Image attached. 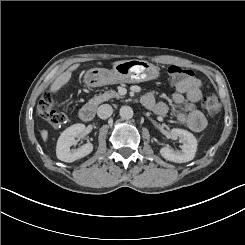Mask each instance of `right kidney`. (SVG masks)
<instances>
[{"mask_svg": "<svg viewBox=\"0 0 245 245\" xmlns=\"http://www.w3.org/2000/svg\"><path fill=\"white\" fill-rule=\"evenodd\" d=\"M84 130L85 125L78 123L62 132L56 145V156L59 160L71 163L92 153L94 148L92 143L83 144L78 149L71 148L77 145L78 135Z\"/></svg>", "mask_w": 245, "mask_h": 245, "instance_id": "obj_1", "label": "right kidney"}]
</instances>
